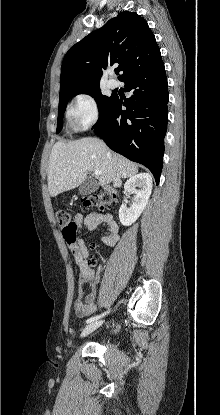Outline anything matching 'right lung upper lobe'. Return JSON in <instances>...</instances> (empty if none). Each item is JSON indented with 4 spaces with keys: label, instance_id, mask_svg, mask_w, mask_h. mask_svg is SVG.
Wrapping results in <instances>:
<instances>
[{
    "label": "right lung upper lobe",
    "instance_id": "cb5924a9",
    "mask_svg": "<svg viewBox=\"0 0 220 415\" xmlns=\"http://www.w3.org/2000/svg\"><path fill=\"white\" fill-rule=\"evenodd\" d=\"M162 60L147 22L134 12H120L102 28L73 45L62 62L60 94L84 85H99L102 71L118 63L119 79Z\"/></svg>",
    "mask_w": 220,
    "mask_h": 415
}]
</instances>
